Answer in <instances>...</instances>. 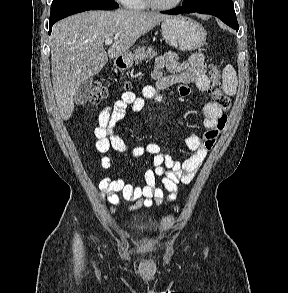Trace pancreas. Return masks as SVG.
<instances>
[{"label":"pancreas","mask_w":288,"mask_h":293,"mask_svg":"<svg viewBox=\"0 0 288 293\" xmlns=\"http://www.w3.org/2000/svg\"><path fill=\"white\" fill-rule=\"evenodd\" d=\"M157 55V52L153 50L152 47L145 49L144 47H139L134 52V60L136 64L144 59L152 58Z\"/></svg>","instance_id":"pancreas-1"}]
</instances>
